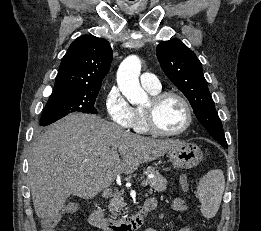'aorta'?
I'll use <instances>...</instances> for the list:
<instances>
[{
    "label": "aorta",
    "instance_id": "762f6f07",
    "mask_svg": "<svg viewBox=\"0 0 261 231\" xmlns=\"http://www.w3.org/2000/svg\"><path fill=\"white\" fill-rule=\"evenodd\" d=\"M140 71V59L131 55L123 60L117 72L118 87L131 104H140L147 100V93L139 83Z\"/></svg>",
    "mask_w": 261,
    "mask_h": 231
}]
</instances>
